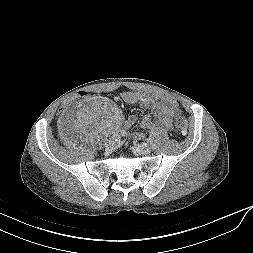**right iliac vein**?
I'll return each mask as SVG.
<instances>
[{
	"mask_svg": "<svg viewBox=\"0 0 253 253\" xmlns=\"http://www.w3.org/2000/svg\"><path fill=\"white\" fill-rule=\"evenodd\" d=\"M117 140H112V141H109L106 145V151L108 152H112L116 149L117 147Z\"/></svg>",
	"mask_w": 253,
	"mask_h": 253,
	"instance_id": "obj_1",
	"label": "right iliac vein"
}]
</instances>
